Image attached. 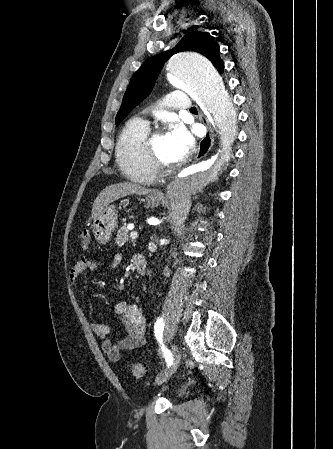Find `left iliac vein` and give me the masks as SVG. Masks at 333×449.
Listing matches in <instances>:
<instances>
[{
	"label": "left iliac vein",
	"mask_w": 333,
	"mask_h": 449,
	"mask_svg": "<svg viewBox=\"0 0 333 449\" xmlns=\"http://www.w3.org/2000/svg\"><path fill=\"white\" fill-rule=\"evenodd\" d=\"M173 363L164 372H161L155 380L156 385H161L167 381L177 370L181 361V351L177 345L172 346Z\"/></svg>",
	"instance_id": "obj_1"
}]
</instances>
